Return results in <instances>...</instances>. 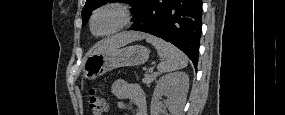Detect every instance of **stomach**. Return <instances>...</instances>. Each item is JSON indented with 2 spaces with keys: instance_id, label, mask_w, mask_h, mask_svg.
Segmentation results:
<instances>
[{
  "instance_id": "1",
  "label": "stomach",
  "mask_w": 285,
  "mask_h": 115,
  "mask_svg": "<svg viewBox=\"0 0 285 115\" xmlns=\"http://www.w3.org/2000/svg\"><path fill=\"white\" fill-rule=\"evenodd\" d=\"M149 51L141 45L115 48L105 53H92L83 65V75L92 80L120 67L138 66L147 62Z\"/></svg>"
}]
</instances>
